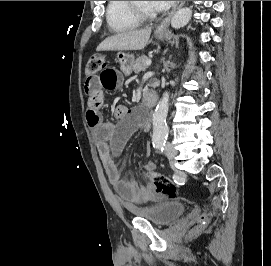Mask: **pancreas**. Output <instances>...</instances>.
I'll list each match as a JSON object with an SVG mask.
<instances>
[{
  "mask_svg": "<svg viewBox=\"0 0 271 266\" xmlns=\"http://www.w3.org/2000/svg\"><path fill=\"white\" fill-rule=\"evenodd\" d=\"M147 60H150L148 56L146 55L139 56L133 64V67H132L133 71L135 73H139L145 70L147 67L145 64Z\"/></svg>",
  "mask_w": 271,
  "mask_h": 266,
  "instance_id": "obj_1",
  "label": "pancreas"
}]
</instances>
